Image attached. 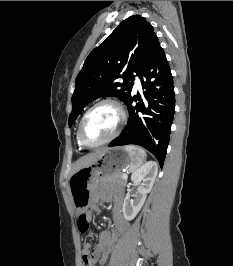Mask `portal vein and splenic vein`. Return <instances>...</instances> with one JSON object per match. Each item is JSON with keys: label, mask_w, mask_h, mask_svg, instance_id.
<instances>
[{"label": "portal vein and splenic vein", "mask_w": 233, "mask_h": 266, "mask_svg": "<svg viewBox=\"0 0 233 266\" xmlns=\"http://www.w3.org/2000/svg\"><path fill=\"white\" fill-rule=\"evenodd\" d=\"M122 178L126 180L128 178V175L126 173H124V174H122Z\"/></svg>", "instance_id": "portal-vein-and-splenic-vein-1"}]
</instances>
